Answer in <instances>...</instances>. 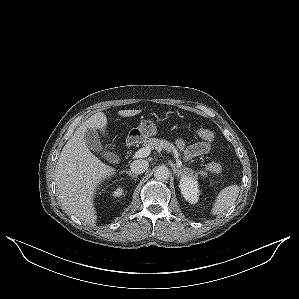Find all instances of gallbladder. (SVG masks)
<instances>
[{
  "label": "gallbladder",
  "instance_id": "1",
  "mask_svg": "<svg viewBox=\"0 0 299 299\" xmlns=\"http://www.w3.org/2000/svg\"><path fill=\"white\" fill-rule=\"evenodd\" d=\"M84 137L86 144L90 150L99 153L103 158H105L108 161H114L116 159V155L114 153L103 150L99 134L95 129L88 128L85 131Z\"/></svg>",
  "mask_w": 299,
  "mask_h": 299
}]
</instances>
